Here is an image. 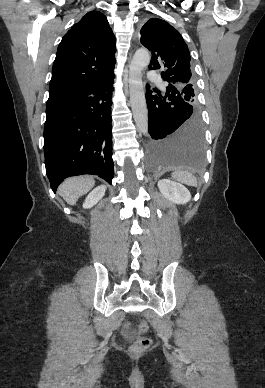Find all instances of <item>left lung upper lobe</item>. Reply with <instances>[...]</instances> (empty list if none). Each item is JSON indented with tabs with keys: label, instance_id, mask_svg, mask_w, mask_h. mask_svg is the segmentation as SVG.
<instances>
[{
	"label": "left lung upper lobe",
	"instance_id": "left-lung-upper-lobe-1",
	"mask_svg": "<svg viewBox=\"0 0 265 388\" xmlns=\"http://www.w3.org/2000/svg\"><path fill=\"white\" fill-rule=\"evenodd\" d=\"M141 43L152 52L149 69L164 68L161 73L168 86L180 92L186 103L197 107L190 70V53L181 34L168 22L152 18L141 28Z\"/></svg>",
	"mask_w": 265,
	"mask_h": 388
}]
</instances>
